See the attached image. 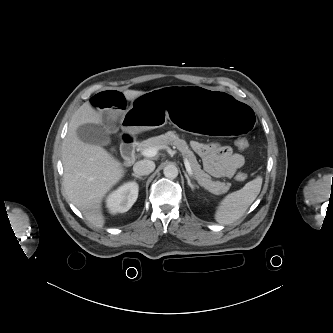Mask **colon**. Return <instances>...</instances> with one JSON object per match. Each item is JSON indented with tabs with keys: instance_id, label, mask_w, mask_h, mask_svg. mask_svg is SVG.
I'll use <instances>...</instances> for the list:
<instances>
[{
	"instance_id": "colon-1",
	"label": "colon",
	"mask_w": 333,
	"mask_h": 333,
	"mask_svg": "<svg viewBox=\"0 0 333 333\" xmlns=\"http://www.w3.org/2000/svg\"><path fill=\"white\" fill-rule=\"evenodd\" d=\"M236 146L239 148V149H246L248 147V141L245 139V138H239L237 141H236ZM247 178V174L244 173V172H239L237 175H236V179L238 181H244L246 180Z\"/></svg>"
}]
</instances>
